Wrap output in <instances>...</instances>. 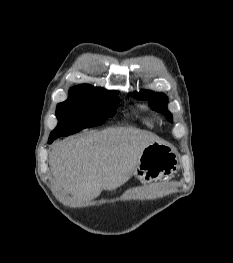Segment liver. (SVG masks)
<instances>
[{"instance_id": "liver-1", "label": "liver", "mask_w": 233, "mask_h": 263, "mask_svg": "<svg viewBox=\"0 0 233 263\" xmlns=\"http://www.w3.org/2000/svg\"><path fill=\"white\" fill-rule=\"evenodd\" d=\"M159 141L135 128H108L69 137L54 145L49 165L58 188L79 204L114 190L134 173L145 147Z\"/></svg>"}]
</instances>
